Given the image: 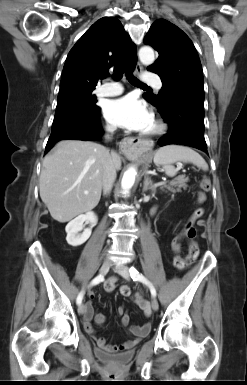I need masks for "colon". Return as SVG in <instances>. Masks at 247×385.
Returning a JSON list of instances; mask_svg holds the SVG:
<instances>
[{
    "mask_svg": "<svg viewBox=\"0 0 247 385\" xmlns=\"http://www.w3.org/2000/svg\"><path fill=\"white\" fill-rule=\"evenodd\" d=\"M210 189H211L210 179L207 176H203L200 180V192H199L198 198H197V202L199 204H202L205 202L206 193L209 192ZM203 212H204L203 208L200 207V208L196 209L195 215L200 217L203 214ZM184 235L189 242V252H188V255L185 259H182V258L176 259L175 263H176V266L179 268H183L187 265L193 264L199 255V246H198L197 242L195 241L196 230H195L192 223H188L185 226ZM180 247H181V238L174 239L173 248L176 251H179ZM122 292H123V294H128L130 292V288L124 287Z\"/></svg>",
    "mask_w": 247,
    "mask_h": 385,
    "instance_id": "colon-1",
    "label": "colon"
}]
</instances>
